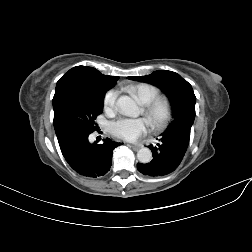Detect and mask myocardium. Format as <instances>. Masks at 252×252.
I'll return each instance as SVG.
<instances>
[{"instance_id": "f54148a6", "label": "myocardium", "mask_w": 252, "mask_h": 252, "mask_svg": "<svg viewBox=\"0 0 252 252\" xmlns=\"http://www.w3.org/2000/svg\"><path fill=\"white\" fill-rule=\"evenodd\" d=\"M143 112L150 127L155 131H161L169 125L172 119L173 105L168 97L158 96L144 105Z\"/></svg>"}]
</instances>
